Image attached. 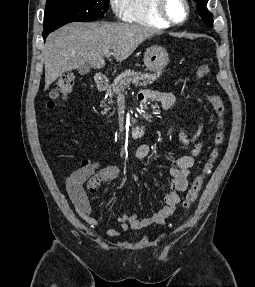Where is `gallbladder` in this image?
Instances as JSON below:
<instances>
[{"mask_svg":"<svg viewBox=\"0 0 255 287\" xmlns=\"http://www.w3.org/2000/svg\"><path fill=\"white\" fill-rule=\"evenodd\" d=\"M79 74H87L89 72V68H78Z\"/></svg>","mask_w":255,"mask_h":287,"instance_id":"gallbladder-1","label":"gallbladder"}]
</instances>
